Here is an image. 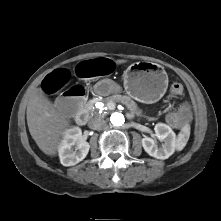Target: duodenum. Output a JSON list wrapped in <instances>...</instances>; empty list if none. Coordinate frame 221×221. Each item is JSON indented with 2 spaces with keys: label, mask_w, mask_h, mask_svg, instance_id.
Listing matches in <instances>:
<instances>
[{
  "label": "duodenum",
  "mask_w": 221,
  "mask_h": 221,
  "mask_svg": "<svg viewBox=\"0 0 221 221\" xmlns=\"http://www.w3.org/2000/svg\"><path fill=\"white\" fill-rule=\"evenodd\" d=\"M75 120L80 125L86 124L88 120L87 113L84 110H79L78 113L76 114Z\"/></svg>",
  "instance_id": "duodenum-1"
}]
</instances>
